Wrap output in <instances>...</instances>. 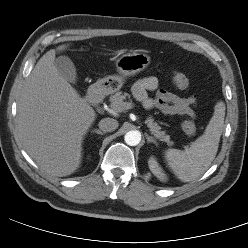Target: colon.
Returning a JSON list of instances; mask_svg holds the SVG:
<instances>
[{"instance_id": "1", "label": "colon", "mask_w": 248, "mask_h": 248, "mask_svg": "<svg viewBox=\"0 0 248 248\" xmlns=\"http://www.w3.org/2000/svg\"><path fill=\"white\" fill-rule=\"evenodd\" d=\"M172 84L179 89H186L189 85L187 77L180 72H172L170 75ZM182 129L188 136H194L196 133V127L191 119H186L182 123Z\"/></svg>"}]
</instances>
